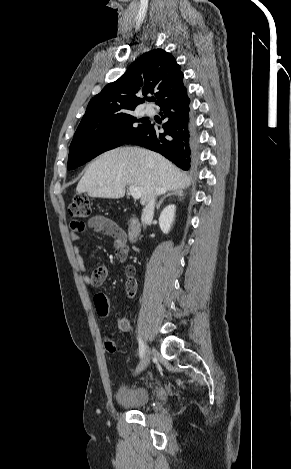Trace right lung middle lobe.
Masks as SVG:
<instances>
[{
    "mask_svg": "<svg viewBox=\"0 0 291 469\" xmlns=\"http://www.w3.org/2000/svg\"><path fill=\"white\" fill-rule=\"evenodd\" d=\"M137 122H143L137 125ZM132 112L95 120L81 121L69 148L67 169L85 164L99 154L119 147L137 130L145 126Z\"/></svg>",
    "mask_w": 291,
    "mask_h": 469,
    "instance_id": "right-lung-middle-lobe-1",
    "label": "right lung middle lobe"
}]
</instances>
